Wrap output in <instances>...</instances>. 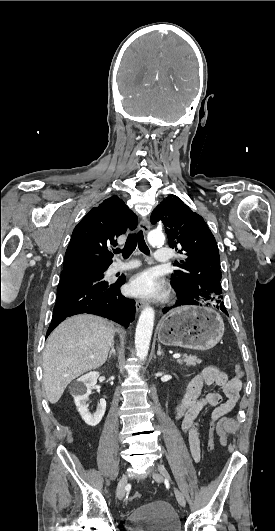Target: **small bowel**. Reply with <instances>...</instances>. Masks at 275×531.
Segmentation results:
<instances>
[{
  "label": "small bowel",
  "mask_w": 275,
  "mask_h": 531,
  "mask_svg": "<svg viewBox=\"0 0 275 531\" xmlns=\"http://www.w3.org/2000/svg\"><path fill=\"white\" fill-rule=\"evenodd\" d=\"M218 387L220 392L213 390ZM242 382L215 366H208L190 380L186 393L175 408L176 419L188 436L193 460H200V417L206 408H213L210 415L218 420L230 413L239 400Z\"/></svg>",
  "instance_id": "c3829d8e"
}]
</instances>
